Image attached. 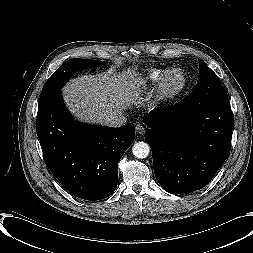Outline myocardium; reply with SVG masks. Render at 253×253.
Instances as JSON below:
<instances>
[{
	"label": "myocardium",
	"mask_w": 253,
	"mask_h": 253,
	"mask_svg": "<svg viewBox=\"0 0 253 253\" xmlns=\"http://www.w3.org/2000/svg\"><path fill=\"white\" fill-rule=\"evenodd\" d=\"M179 73L181 76V83L175 89L167 88V81L171 75ZM187 86V77L181 68H172L168 70L159 80L156 89V100L159 105H167L174 101L184 91Z\"/></svg>",
	"instance_id": "f54148a6"
}]
</instances>
